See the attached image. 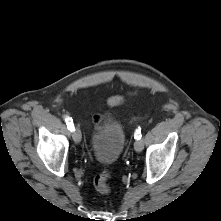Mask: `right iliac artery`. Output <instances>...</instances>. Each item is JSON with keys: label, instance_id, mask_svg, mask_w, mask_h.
I'll return each instance as SVG.
<instances>
[{"label": "right iliac artery", "instance_id": "obj_1", "mask_svg": "<svg viewBox=\"0 0 221 221\" xmlns=\"http://www.w3.org/2000/svg\"><path fill=\"white\" fill-rule=\"evenodd\" d=\"M65 122L67 124V127L70 131L74 130V124H73V120L72 118H70L69 116H64Z\"/></svg>", "mask_w": 221, "mask_h": 221}]
</instances>
